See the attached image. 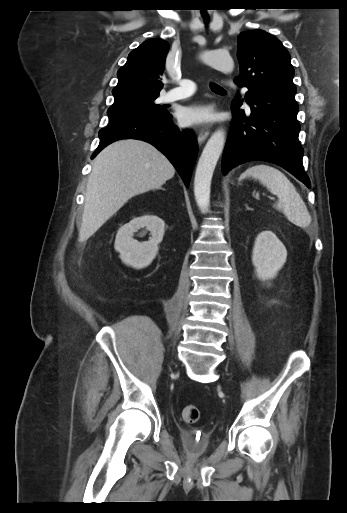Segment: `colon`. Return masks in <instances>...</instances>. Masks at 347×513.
Wrapping results in <instances>:
<instances>
[{"instance_id":"colon-1","label":"colon","mask_w":347,"mask_h":513,"mask_svg":"<svg viewBox=\"0 0 347 513\" xmlns=\"http://www.w3.org/2000/svg\"><path fill=\"white\" fill-rule=\"evenodd\" d=\"M182 417L186 423H195L200 418V410L195 405H185L182 408Z\"/></svg>"}]
</instances>
